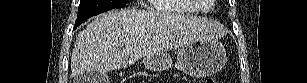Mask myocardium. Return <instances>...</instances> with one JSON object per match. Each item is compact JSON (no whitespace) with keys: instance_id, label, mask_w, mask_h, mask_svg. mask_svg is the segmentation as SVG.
<instances>
[{"instance_id":"obj_1","label":"myocardium","mask_w":307,"mask_h":83,"mask_svg":"<svg viewBox=\"0 0 307 83\" xmlns=\"http://www.w3.org/2000/svg\"><path fill=\"white\" fill-rule=\"evenodd\" d=\"M211 2L214 0H210ZM191 2L196 6L197 10H200L201 12H209L212 9V6L209 7H203L201 4V0H191Z\"/></svg>"}]
</instances>
